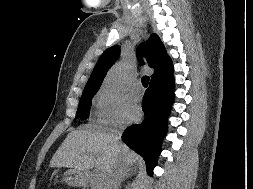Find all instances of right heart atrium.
I'll return each instance as SVG.
<instances>
[{
    "label": "right heart atrium",
    "mask_w": 253,
    "mask_h": 189,
    "mask_svg": "<svg viewBox=\"0 0 253 189\" xmlns=\"http://www.w3.org/2000/svg\"><path fill=\"white\" fill-rule=\"evenodd\" d=\"M97 122L105 127H120L125 123V101L117 92L103 87L95 97Z\"/></svg>",
    "instance_id": "1"
}]
</instances>
